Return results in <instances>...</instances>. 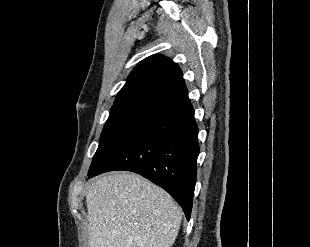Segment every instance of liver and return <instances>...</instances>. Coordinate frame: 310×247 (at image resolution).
I'll return each mask as SVG.
<instances>
[{
  "mask_svg": "<svg viewBox=\"0 0 310 247\" xmlns=\"http://www.w3.org/2000/svg\"><path fill=\"white\" fill-rule=\"evenodd\" d=\"M86 204L88 247H171L182 220L165 190L134 173L96 177Z\"/></svg>",
  "mask_w": 310,
  "mask_h": 247,
  "instance_id": "liver-1",
  "label": "liver"
}]
</instances>
